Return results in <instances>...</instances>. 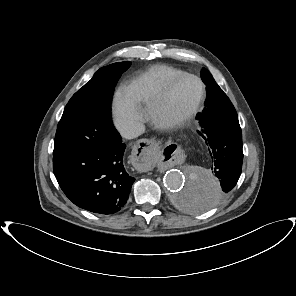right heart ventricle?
<instances>
[{"mask_svg":"<svg viewBox=\"0 0 296 296\" xmlns=\"http://www.w3.org/2000/svg\"><path fill=\"white\" fill-rule=\"evenodd\" d=\"M184 73L173 66L153 65L132 80L127 94L140 109H147L173 78Z\"/></svg>","mask_w":296,"mask_h":296,"instance_id":"1","label":"right heart ventricle"}]
</instances>
